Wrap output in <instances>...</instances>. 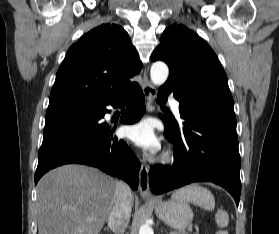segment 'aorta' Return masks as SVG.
<instances>
[{
  "label": "aorta",
  "mask_w": 279,
  "mask_h": 234,
  "mask_svg": "<svg viewBox=\"0 0 279 234\" xmlns=\"http://www.w3.org/2000/svg\"><path fill=\"white\" fill-rule=\"evenodd\" d=\"M169 75L168 66L162 61H156L152 64L150 69L151 81L154 85H162L166 82ZM139 234H154L153 229L148 222L141 225L139 228Z\"/></svg>",
  "instance_id": "obj_1"
}]
</instances>
